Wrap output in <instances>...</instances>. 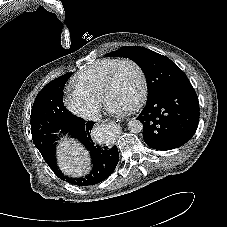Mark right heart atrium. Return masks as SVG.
I'll return each mask as SVG.
<instances>
[{
  "label": "right heart atrium",
  "mask_w": 227,
  "mask_h": 227,
  "mask_svg": "<svg viewBox=\"0 0 227 227\" xmlns=\"http://www.w3.org/2000/svg\"><path fill=\"white\" fill-rule=\"evenodd\" d=\"M64 104L71 113L77 116L95 119L100 110L101 98L73 90L66 93Z\"/></svg>",
  "instance_id": "d8ad5b80"
}]
</instances>
